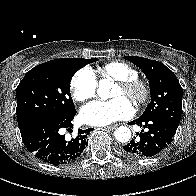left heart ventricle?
Returning <instances> with one entry per match:
<instances>
[{"mask_svg": "<svg viewBox=\"0 0 196 196\" xmlns=\"http://www.w3.org/2000/svg\"><path fill=\"white\" fill-rule=\"evenodd\" d=\"M112 97L116 98V97H124L127 100L131 99V95L124 91L122 88H120L118 85L115 86L113 93H112Z\"/></svg>", "mask_w": 196, "mask_h": 196, "instance_id": "obj_1", "label": "left heart ventricle"}]
</instances>
